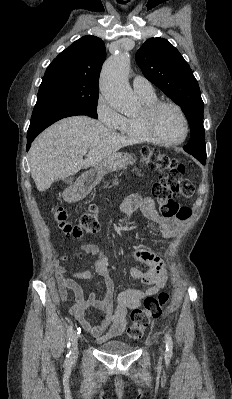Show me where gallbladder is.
Segmentation results:
<instances>
[{
	"label": "gallbladder",
	"mask_w": 232,
	"mask_h": 399,
	"mask_svg": "<svg viewBox=\"0 0 232 399\" xmlns=\"http://www.w3.org/2000/svg\"><path fill=\"white\" fill-rule=\"evenodd\" d=\"M66 184H72L73 182V178H67V180H65Z\"/></svg>",
	"instance_id": "1"
}]
</instances>
